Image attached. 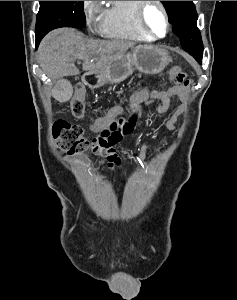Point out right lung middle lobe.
I'll use <instances>...</instances> for the list:
<instances>
[{"mask_svg": "<svg viewBox=\"0 0 237 300\" xmlns=\"http://www.w3.org/2000/svg\"><path fill=\"white\" fill-rule=\"evenodd\" d=\"M36 19V45L51 30L59 27H85L83 1H39Z\"/></svg>", "mask_w": 237, "mask_h": 300, "instance_id": "1", "label": "right lung middle lobe"}]
</instances>
